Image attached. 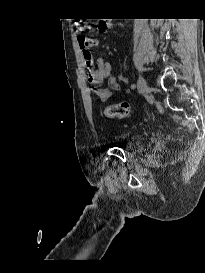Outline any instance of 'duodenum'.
Returning <instances> with one entry per match:
<instances>
[{
  "mask_svg": "<svg viewBox=\"0 0 205 273\" xmlns=\"http://www.w3.org/2000/svg\"><path fill=\"white\" fill-rule=\"evenodd\" d=\"M109 28V22H101L100 23V29L101 31H105Z\"/></svg>",
  "mask_w": 205,
  "mask_h": 273,
  "instance_id": "410a0bca",
  "label": "duodenum"
}]
</instances>
